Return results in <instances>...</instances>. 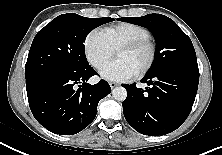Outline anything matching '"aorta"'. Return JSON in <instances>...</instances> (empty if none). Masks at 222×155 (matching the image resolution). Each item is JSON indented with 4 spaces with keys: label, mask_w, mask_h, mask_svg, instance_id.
<instances>
[{
    "label": "aorta",
    "mask_w": 222,
    "mask_h": 155,
    "mask_svg": "<svg viewBox=\"0 0 222 155\" xmlns=\"http://www.w3.org/2000/svg\"><path fill=\"white\" fill-rule=\"evenodd\" d=\"M112 96L117 101H124L127 98V91L124 87H116L112 90Z\"/></svg>",
    "instance_id": "762f6f07"
}]
</instances>
